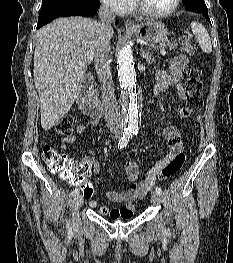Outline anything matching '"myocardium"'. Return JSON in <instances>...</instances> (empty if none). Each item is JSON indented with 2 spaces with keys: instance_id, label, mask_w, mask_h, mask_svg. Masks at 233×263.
Instances as JSON below:
<instances>
[{
  "instance_id": "f54148a6",
  "label": "myocardium",
  "mask_w": 233,
  "mask_h": 263,
  "mask_svg": "<svg viewBox=\"0 0 233 263\" xmlns=\"http://www.w3.org/2000/svg\"><path fill=\"white\" fill-rule=\"evenodd\" d=\"M134 9L143 16L150 18H164L173 14L179 7L181 0H174L172 6L163 12H152L146 9L140 2V0H132Z\"/></svg>"
}]
</instances>
